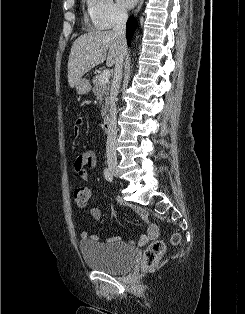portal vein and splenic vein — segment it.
Here are the masks:
<instances>
[{
	"label": "portal vein and splenic vein",
	"mask_w": 245,
	"mask_h": 314,
	"mask_svg": "<svg viewBox=\"0 0 245 314\" xmlns=\"http://www.w3.org/2000/svg\"><path fill=\"white\" fill-rule=\"evenodd\" d=\"M109 78H110V71L109 69H105L103 70V72L101 73L99 77V82L104 84L109 81Z\"/></svg>",
	"instance_id": "18ae733b"
}]
</instances>
